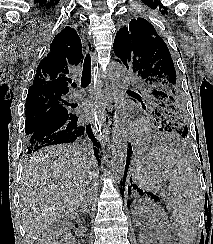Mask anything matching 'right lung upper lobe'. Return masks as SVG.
<instances>
[{
  "mask_svg": "<svg viewBox=\"0 0 213 244\" xmlns=\"http://www.w3.org/2000/svg\"><path fill=\"white\" fill-rule=\"evenodd\" d=\"M82 45L77 32L65 27L50 44V52L40 62L27 97L44 94L65 96L69 87H76L68 78L74 66L82 63Z\"/></svg>",
  "mask_w": 213,
  "mask_h": 244,
  "instance_id": "right-lung-upper-lobe-1",
  "label": "right lung upper lobe"
}]
</instances>
